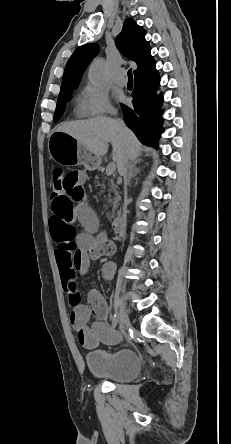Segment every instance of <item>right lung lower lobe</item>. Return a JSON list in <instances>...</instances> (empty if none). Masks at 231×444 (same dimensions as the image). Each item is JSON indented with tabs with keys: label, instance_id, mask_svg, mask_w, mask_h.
<instances>
[{
	"label": "right lung lower lobe",
	"instance_id": "1",
	"mask_svg": "<svg viewBox=\"0 0 231 444\" xmlns=\"http://www.w3.org/2000/svg\"><path fill=\"white\" fill-rule=\"evenodd\" d=\"M134 80L133 107L122 105L124 121L143 144L158 147L162 133V96L156 94L160 84L159 73L154 65L135 76Z\"/></svg>",
	"mask_w": 231,
	"mask_h": 444
}]
</instances>
